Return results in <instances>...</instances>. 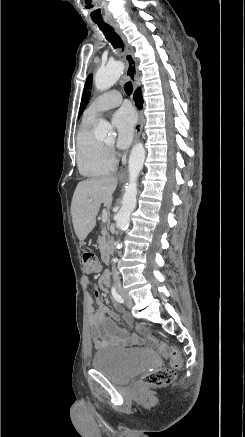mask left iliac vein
Returning <instances> with one entry per match:
<instances>
[{"label":"left iliac vein","instance_id":"left-iliac-vein-1","mask_svg":"<svg viewBox=\"0 0 245 437\" xmlns=\"http://www.w3.org/2000/svg\"><path fill=\"white\" fill-rule=\"evenodd\" d=\"M121 294L125 299V305L130 309L133 305V301H132L131 297L127 293H125L124 291H121Z\"/></svg>","mask_w":245,"mask_h":437}]
</instances>
